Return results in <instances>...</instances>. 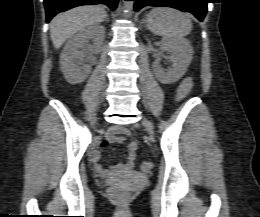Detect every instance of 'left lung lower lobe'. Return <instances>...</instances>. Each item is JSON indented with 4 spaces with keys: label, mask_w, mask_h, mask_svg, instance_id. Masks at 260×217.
<instances>
[{
    "label": "left lung lower lobe",
    "mask_w": 260,
    "mask_h": 217,
    "mask_svg": "<svg viewBox=\"0 0 260 217\" xmlns=\"http://www.w3.org/2000/svg\"><path fill=\"white\" fill-rule=\"evenodd\" d=\"M135 1V11H139L145 6H166L190 12L202 21L207 12L208 0H131Z\"/></svg>",
    "instance_id": "0a47b994"
}]
</instances>
